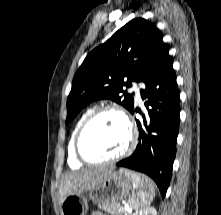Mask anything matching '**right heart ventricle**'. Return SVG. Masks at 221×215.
I'll return each instance as SVG.
<instances>
[{"mask_svg": "<svg viewBox=\"0 0 221 215\" xmlns=\"http://www.w3.org/2000/svg\"><path fill=\"white\" fill-rule=\"evenodd\" d=\"M93 111L92 108H88L86 109L82 115L79 117V119L77 120L72 133H71V137L70 140L68 142V164L70 167L73 168H79L82 166V162H80L78 160V158L75 155V151H74V139H75V135L80 127V125L82 124V122L84 121V119Z\"/></svg>", "mask_w": 221, "mask_h": 215, "instance_id": "1", "label": "right heart ventricle"}]
</instances>
